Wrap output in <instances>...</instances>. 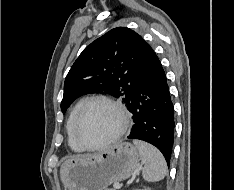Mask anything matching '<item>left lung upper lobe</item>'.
<instances>
[{
	"mask_svg": "<svg viewBox=\"0 0 234 190\" xmlns=\"http://www.w3.org/2000/svg\"><path fill=\"white\" fill-rule=\"evenodd\" d=\"M142 42L133 30L117 27L89 44L66 76L62 112L87 93H108L128 104L138 80Z\"/></svg>",
	"mask_w": 234,
	"mask_h": 190,
	"instance_id": "1",
	"label": "left lung upper lobe"
}]
</instances>
